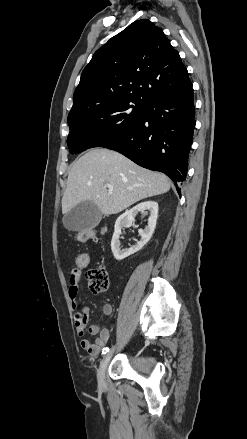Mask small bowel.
Wrapping results in <instances>:
<instances>
[{"label": "small bowel", "mask_w": 247, "mask_h": 439, "mask_svg": "<svg viewBox=\"0 0 247 439\" xmlns=\"http://www.w3.org/2000/svg\"><path fill=\"white\" fill-rule=\"evenodd\" d=\"M81 279V269L74 268L69 275L68 293L71 300V306L74 313V322L76 330L79 336H84L89 322V309L85 306L78 304V290ZM102 312L105 316H110L113 312V307L110 303H105L102 307ZM89 333L95 335L96 340L91 342L90 340L83 338L80 341V346L88 354L97 356L103 346L106 344L110 331L107 328H101L99 324H93L89 327Z\"/></svg>", "instance_id": "c3829d8e"}]
</instances>
